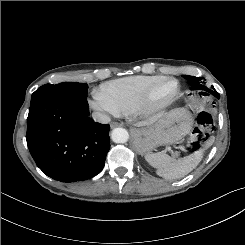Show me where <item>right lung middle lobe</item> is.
<instances>
[{
    "instance_id": "1",
    "label": "right lung middle lobe",
    "mask_w": 245,
    "mask_h": 245,
    "mask_svg": "<svg viewBox=\"0 0 245 245\" xmlns=\"http://www.w3.org/2000/svg\"><path fill=\"white\" fill-rule=\"evenodd\" d=\"M88 85L86 83L62 82L56 85L45 84L39 87L31 97V103L49 96H63L72 99H85Z\"/></svg>"
}]
</instances>
